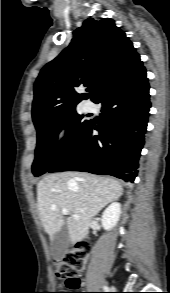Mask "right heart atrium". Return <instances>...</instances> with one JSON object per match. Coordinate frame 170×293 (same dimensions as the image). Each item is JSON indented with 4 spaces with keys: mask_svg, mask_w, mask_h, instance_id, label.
<instances>
[{
    "mask_svg": "<svg viewBox=\"0 0 170 293\" xmlns=\"http://www.w3.org/2000/svg\"><path fill=\"white\" fill-rule=\"evenodd\" d=\"M64 135H65L64 129L60 128L56 133V141L58 143H61L64 139Z\"/></svg>",
    "mask_w": 170,
    "mask_h": 293,
    "instance_id": "right-heart-atrium-1",
    "label": "right heart atrium"
}]
</instances>
